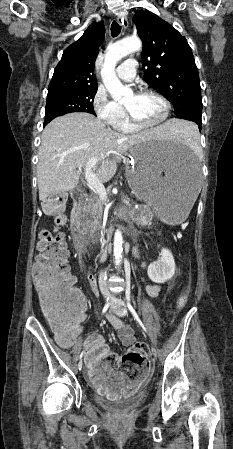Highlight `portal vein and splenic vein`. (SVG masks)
Wrapping results in <instances>:
<instances>
[{"label":"portal vein and splenic vein","instance_id":"portal-vein-and-splenic-vein-1","mask_svg":"<svg viewBox=\"0 0 233 449\" xmlns=\"http://www.w3.org/2000/svg\"><path fill=\"white\" fill-rule=\"evenodd\" d=\"M100 161V158L98 157H92L89 159L85 165V178L89 185H91L97 192L100 200L102 202H108L107 192L103 185V183L100 181V179L97 177V175L92 171V168Z\"/></svg>","mask_w":233,"mask_h":449}]
</instances>
